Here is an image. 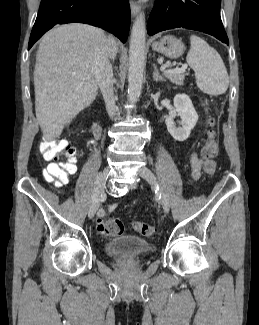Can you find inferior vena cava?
<instances>
[{"mask_svg":"<svg viewBox=\"0 0 259 325\" xmlns=\"http://www.w3.org/2000/svg\"><path fill=\"white\" fill-rule=\"evenodd\" d=\"M110 51L108 40L105 37L103 43L97 49L92 66V73L98 83L108 115L113 118L116 115L115 97L113 91V70L109 61Z\"/></svg>","mask_w":259,"mask_h":325,"instance_id":"602c4592","label":"inferior vena cava"}]
</instances>
